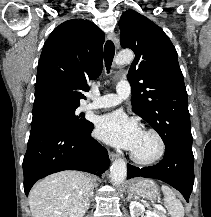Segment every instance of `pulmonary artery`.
Returning <instances> with one entry per match:
<instances>
[{
    "instance_id": "1",
    "label": "pulmonary artery",
    "mask_w": 211,
    "mask_h": 217,
    "mask_svg": "<svg viewBox=\"0 0 211 217\" xmlns=\"http://www.w3.org/2000/svg\"><path fill=\"white\" fill-rule=\"evenodd\" d=\"M131 93V87L128 81L121 80L116 85V93L106 94L94 99L84 106L85 110L104 109L114 107L120 104Z\"/></svg>"
}]
</instances>
